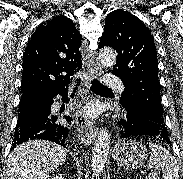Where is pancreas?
<instances>
[{
  "instance_id": "obj_1",
  "label": "pancreas",
  "mask_w": 183,
  "mask_h": 179,
  "mask_svg": "<svg viewBox=\"0 0 183 179\" xmlns=\"http://www.w3.org/2000/svg\"><path fill=\"white\" fill-rule=\"evenodd\" d=\"M147 179H160L158 176H150V177H147Z\"/></svg>"
}]
</instances>
